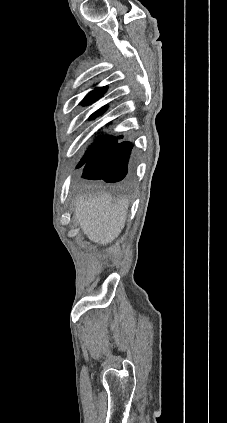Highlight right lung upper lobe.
<instances>
[{
	"label": "right lung upper lobe",
	"instance_id": "cb5924a9",
	"mask_svg": "<svg viewBox=\"0 0 227 423\" xmlns=\"http://www.w3.org/2000/svg\"><path fill=\"white\" fill-rule=\"evenodd\" d=\"M106 88H97L94 91H92L86 98L83 100V104H90L97 100L99 97L102 96V94L105 92ZM102 112V109L98 112L94 113L91 118L95 117L97 114ZM115 144H117V138L116 137H104L100 139L95 145H93L89 151L86 153V155H96L99 152L113 147Z\"/></svg>",
	"mask_w": 227,
	"mask_h": 423
}]
</instances>
